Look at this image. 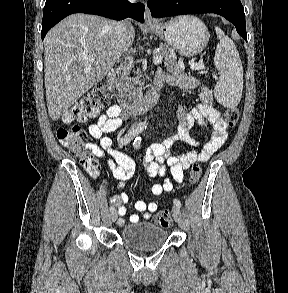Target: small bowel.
<instances>
[{"label": "small bowel", "instance_id": "obj_1", "mask_svg": "<svg viewBox=\"0 0 288 293\" xmlns=\"http://www.w3.org/2000/svg\"><path fill=\"white\" fill-rule=\"evenodd\" d=\"M167 83L177 86L185 92L199 93V101L187 110L182 103L177 108L178 128L176 132L162 142L153 143L147 151L139 156V161L143 164L146 174L151 178H161L163 183H155L151 187L154 196H160L164 192H170L173 184L169 178L181 182L184 171L195 162H206L217 150H219L227 139L228 125L221 118L220 113L214 108V98L211 90L199 79L186 74L170 75L159 73ZM126 117L118 105H111L104 114L98 117L96 123L88 128L90 136L98 140L99 144H91V150L97 157H103L108 153L110 158L107 163L112 170L113 176L119 181L129 179L135 171L136 163L125 153L112 147V140L108 134L118 129L123 119ZM205 128L208 125L213 127L211 139L205 143L200 152L190 150L185 153L176 154L172 147L177 142H183L191 146H198L199 142L190 134L194 125ZM128 195L122 193L111 198V203L115 204L123 223V217L127 213L125 204L128 202ZM143 218L148 219L151 213L157 210L154 201H136L134 205ZM140 220L138 214H131L129 221L137 223Z\"/></svg>", "mask_w": 288, "mask_h": 293}]
</instances>
